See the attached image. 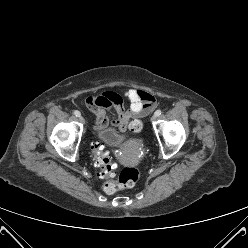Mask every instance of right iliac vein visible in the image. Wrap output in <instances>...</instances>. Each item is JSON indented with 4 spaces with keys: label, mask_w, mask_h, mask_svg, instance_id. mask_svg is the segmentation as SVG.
Masks as SVG:
<instances>
[{
    "label": "right iliac vein",
    "mask_w": 248,
    "mask_h": 248,
    "mask_svg": "<svg viewBox=\"0 0 248 248\" xmlns=\"http://www.w3.org/2000/svg\"><path fill=\"white\" fill-rule=\"evenodd\" d=\"M79 120L81 121V122H84V118L80 115L79 116Z\"/></svg>",
    "instance_id": "right-iliac-vein-1"
}]
</instances>
